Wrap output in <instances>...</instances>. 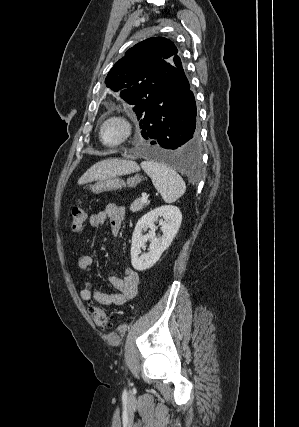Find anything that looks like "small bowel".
I'll return each mask as SVG.
<instances>
[{
  "instance_id": "obj_1",
  "label": "small bowel",
  "mask_w": 299,
  "mask_h": 427,
  "mask_svg": "<svg viewBox=\"0 0 299 427\" xmlns=\"http://www.w3.org/2000/svg\"><path fill=\"white\" fill-rule=\"evenodd\" d=\"M125 217V210L117 204H108L102 211L91 214L89 223L92 227H102L109 222L110 230L113 235H117L121 229ZM92 270V258L88 255H82L78 259L77 271L79 273L89 274ZM139 274L137 271L126 268L124 276L118 277L112 275L109 277L111 285L116 292H104L92 288V283L86 279L80 291V298L84 302L95 300L97 303L105 306H121L133 299L138 290Z\"/></svg>"
}]
</instances>
